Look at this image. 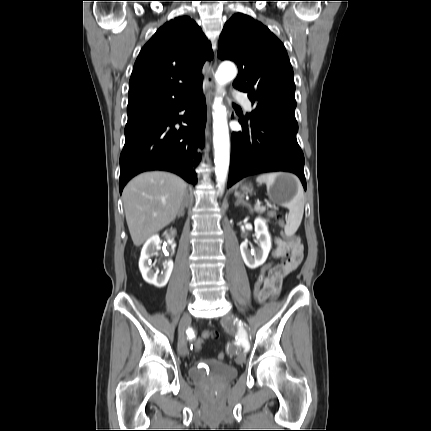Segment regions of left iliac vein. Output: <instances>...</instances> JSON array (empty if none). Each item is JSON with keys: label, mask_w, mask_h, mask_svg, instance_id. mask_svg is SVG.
<instances>
[{"label": "left iliac vein", "mask_w": 431, "mask_h": 431, "mask_svg": "<svg viewBox=\"0 0 431 431\" xmlns=\"http://www.w3.org/2000/svg\"><path fill=\"white\" fill-rule=\"evenodd\" d=\"M223 322L226 325H231L233 322H235V317L232 313H228L227 315H225L223 317ZM246 361V353L245 352H241L237 358H236V363L239 365H242L243 363H245Z\"/></svg>", "instance_id": "1"}]
</instances>
